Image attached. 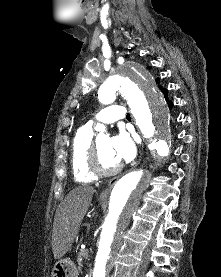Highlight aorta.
I'll use <instances>...</instances> for the list:
<instances>
[{
    "label": "aorta",
    "instance_id": "aorta-1",
    "mask_svg": "<svg viewBox=\"0 0 221 277\" xmlns=\"http://www.w3.org/2000/svg\"><path fill=\"white\" fill-rule=\"evenodd\" d=\"M118 94L127 100L136 125L149 140L148 148L160 156H167L172 140L169 110L146 69L137 64L123 66L102 83L98 90V99L103 105H108L115 101ZM96 129L101 133L105 131L101 124ZM149 181L147 171L138 169L127 173L114 185L98 242L93 277L108 276L123 234L139 207Z\"/></svg>",
    "mask_w": 221,
    "mask_h": 277
}]
</instances>
